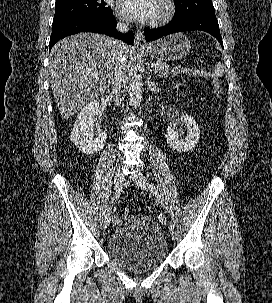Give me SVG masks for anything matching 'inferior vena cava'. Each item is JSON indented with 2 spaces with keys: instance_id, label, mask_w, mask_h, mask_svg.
Listing matches in <instances>:
<instances>
[{
  "instance_id": "obj_1",
  "label": "inferior vena cava",
  "mask_w": 272,
  "mask_h": 303,
  "mask_svg": "<svg viewBox=\"0 0 272 303\" xmlns=\"http://www.w3.org/2000/svg\"><path fill=\"white\" fill-rule=\"evenodd\" d=\"M129 23L126 21L125 23H118L117 30L121 33H126L128 31ZM118 46V53L115 61L113 77H112V92L111 95L113 96L115 104L118 106L120 104V92L125 85L126 82V64H127V57L124 54V44L120 41H115Z\"/></svg>"
}]
</instances>
